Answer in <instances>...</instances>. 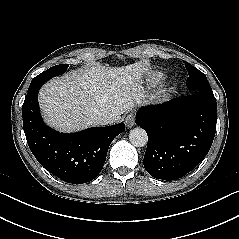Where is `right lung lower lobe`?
Wrapping results in <instances>:
<instances>
[{"mask_svg": "<svg viewBox=\"0 0 239 239\" xmlns=\"http://www.w3.org/2000/svg\"><path fill=\"white\" fill-rule=\"evenodd\" d=\"M44 80L32 81L22 106L23 127L29 148L37 161L61 180L82 184L102 170L112 140L125 130V124L89 128L63 134L43 122L38 92Z\"/></svg>", "mask_w": 239, "mask_h": 239, "instance_id": "obj_1", "label": "right lung lower lobe"}]
</instances>
